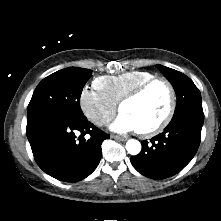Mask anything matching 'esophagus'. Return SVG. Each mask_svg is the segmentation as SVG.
<instances>
[{
	"label": "esophagus",
	"instance_id": "34e87169",
	"mask_svg": "<svg viewBox=\"0 0 221 221\" xmlns=\"http://www.w3.org/2000/svg\"><path fill=\"white\" fill-rule=\"evenodd\" d=\"M112 138L115 140H118V141H126L127 140V138H125V137H120V136H115V135H113Z\"/></svg>",
	"mask_w": 221,
	"mask_h": 221
}]
</instances>
